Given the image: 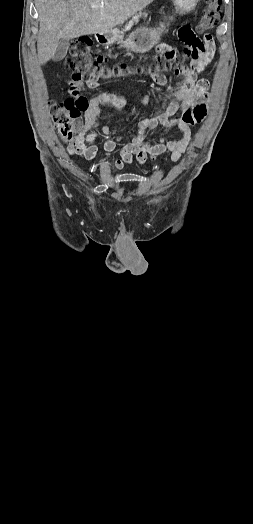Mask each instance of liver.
<instances>
[{
	"instance_id": "1",
	"label": "liver",
	"mask_w": 253,
	"mask_h": 524,
	"mask_svg": "<svg viewBox=\"0 0 253 524\" xmlns=\"http://www.w3.org/2000/svg\"><path fill=\"white\" fill-rule=\"evenodd\" d=\"M151 2L153 0H35L39 14V63L51 60L62 40L108 33ZM92 4L98 8H91Z\"/></svg>"
}]
</instances>
